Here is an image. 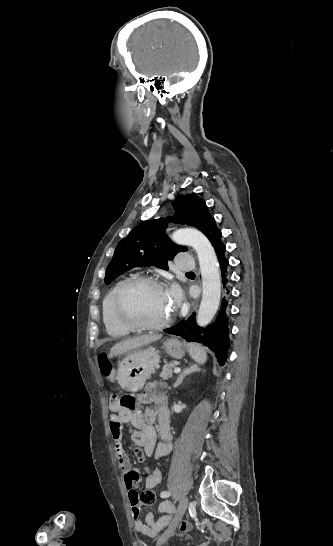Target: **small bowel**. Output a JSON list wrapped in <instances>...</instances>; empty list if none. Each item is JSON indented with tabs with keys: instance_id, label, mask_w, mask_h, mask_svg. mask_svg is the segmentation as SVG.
<instances>
[{
	"instance_id": "small-bowel-1",
	"label": "small bowel",
	"mask_w": 333,
	"mask_h": 546,
	"mask_svg": "<svg viewBox=\"0 0 333 546\" xmlns=\"http://www.w3.org/2000/svg\"><path fill=\"white\" fill-rule=\"evenodd\" d=\"M118 372L111 370L110 381H115ZM140 405L155 404L158 413L148 409L141 411L140 407L133 408L113 405L114 413L110 416V433L114 441L115 451L119 467L123 473L124 486L128 493L131 506V515L134 519V528L144 535L154 537L163 531L171 522L174 506L170 502H162L158 511L165 513L157 521L152 512L147 513L145 520L140 519L141 506L137 486L141 480V474L130 462L125 449V440L122 430L124 424L130 425L129 434L132 442L141 447L147 456H154L160 459L171 452L172 435L169 427L168 397L164 392V385L161 383H150L139 395ZM157 419V427L154 423ZM161 482V472L155 469L145 481L147 488H155Z\"/></svg>"
}]
</instances>
